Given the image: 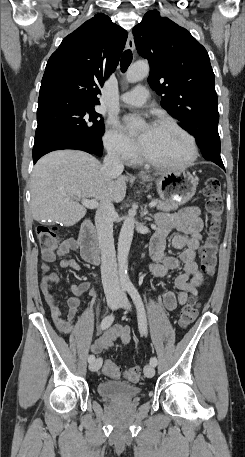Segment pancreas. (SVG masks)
<instances>
[{
  "mask_svg": "<svg viewBox=\"0 0 245 457\" xmlns=\"http://www.w3.org/2000/svg\"><path fill=\"white\" fill-rule=\"evenodd\" d=\"M153 200L157 202L156 206L158 210H164V212L178 208V202H164V200H158V198H153Z\"/></svg>",
  "mask_w": 245,
  "mask_h": 457,
  "instance_id": "cf45deb5",
  "label": "pancreas"
}]
</instances>
